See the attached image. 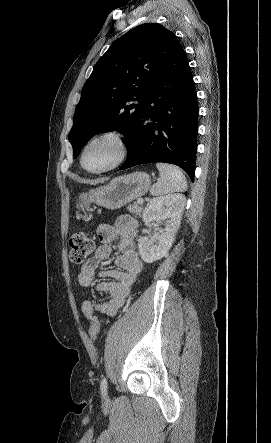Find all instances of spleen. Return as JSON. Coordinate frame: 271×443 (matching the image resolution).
<instances>
[{
    "label": "spleen",
    "instance_id": "obj_1",
    "mask_svg": "<svg viewBox=\"0 0 271 443\" xmlns=\"http://www.w3.org/2000/svg\"><path fill=\"white\" fill-rule=\"evenodd\" d=\"M156 168L159 170L160 178L157 184L151 186V196H164V194L187 190V180L179 168L168 166V164H156Z\"/></svg>",
    "mask_w": 271,
    "mask_h": 443
}]
</instances>
